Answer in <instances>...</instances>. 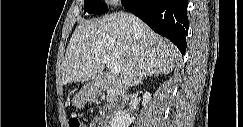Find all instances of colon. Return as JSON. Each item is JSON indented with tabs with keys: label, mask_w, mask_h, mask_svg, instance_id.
<instances>
[{
	"label": "colon",
	"mask_w": 243,
	"mask_h": 127,
	"mask_svg": "<svg viewBox=\"0 0 243 127\" xmlns=\"http://www.w3.org/2000/svg\"><path fill=\"white\" fill-rule=\"evenodd\" d=\"M68 124H69L70 127H82V126H84L82 124V122L79 120V118L74 116V115L69 118Z\"/></svg>",
	"instance_id": "obj_1"
}]
</instances>
